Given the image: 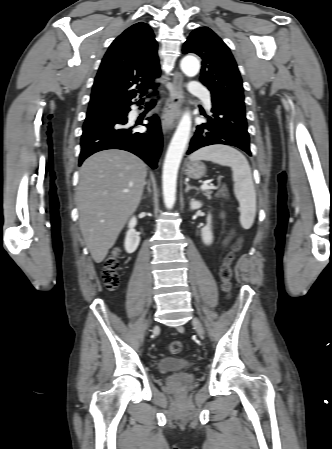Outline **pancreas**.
<instances>
[{
  "mask_svg": "<svg viewBox=\"0 0 332 449\" xmlns=\"http://www.w3.org/2000/svg\"><path fill=\"white\" fill-rule=\"evenodd\" d=\"M212 193L213 192L211 190H205L204 191V195L207 197V199H211L212 198L211 197ZM216 196L217 197H219V196H226V191L219 192V193L216 194Z\"/></svg>",
  "mask_w": 332,
  "mask_h": 449,
  "instance_id": "cf45deb5",
  "label": "pancreas"
}]
</instances>
